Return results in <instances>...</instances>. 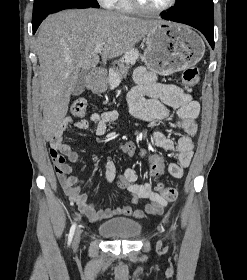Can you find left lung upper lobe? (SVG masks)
Segmentation results:
<instances>
[{"mask_svg": "<svg viewBox=\"0 0 247 280\" xmlns=\"http://www.w3.org/2000/svg\"><path fill=\"white\" fill-rule=\"evenodd\" d=\"M170 11L174 13L213 12V0H179Z\"/></svg>", "mask_w": 247, "mask_h": 280, "instance_id": "left-lung-upper-lobe-1", "label": "left lung upper lobe"}]
</instances>
